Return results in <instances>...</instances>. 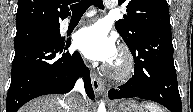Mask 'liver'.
I'll return each instance as SVG.
<instances>
[{"instance_id":"obj_1","label":"liver","mask_w":193,"mask_h":112,"mask_svg":"<svg viewBox=\"0 0 193 112\" xmlns=\"http://www.w3.org/2000/svg\"><path fill=\"white\" fill-rule=\"evenodd\" d=\"M85 110H91V102L86 98ZM19 112H70V109L68 100L63 102L59 96L46 95L30 101Z\"/></svg>"}]
</instances>
